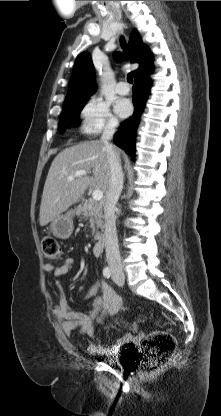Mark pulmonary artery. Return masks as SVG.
<instances>
[{
	"label": "pulmonary artery",
	"instance_id": "obj_1",
	"mask_svg": "<svg viewBox=\"0 0 221 416\" xmlns=\"http://www.w3.org/2000/svg\"><path fill=\"white\" fill-rule=\"evenodd\" d=\"M130 91L129 86L124 81H119L116 85V92L120 95H127Z\"/></svg>",
	"mask_w": 221,
	"mask_h": 416
}]
</instances>
